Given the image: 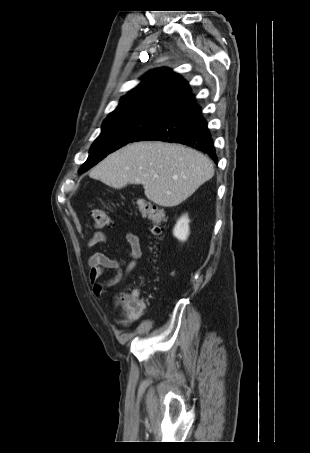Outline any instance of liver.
<instances>
[{"mask_svg": "<svg viewBox=\"0 0 310 453\" xmlns=\"http://www.w3.org/2000/svg\"><path fill=\"white\" fill-rule=\"evenodd\" d=\"M214 175L212 161L180 144L142 141L111 153L89 176L121 189L142 184L146 197L162 207H174Z\"/></svg>", "mask_w": 310, "mask_h": 453, "instance_id": "1", "label": "liver"}]
</instances>
